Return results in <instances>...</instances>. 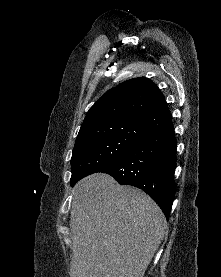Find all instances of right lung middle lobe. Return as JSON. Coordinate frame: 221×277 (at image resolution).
I'll return each instance as SVG.
<instances>
[{
    "mask_svg": "<svg viewBox=\"0 0 221 277\" xmlns=\"http://www.w3.org/2000/svg\"><path fill=\"white\" fill-rule=\"evenodd\" d=\"M141 132L139 122L100 125L79 132L71 158L70 184L121 159Z\"/></svg>",
    "mask_w": 221,
    "mask_h": 277,
    "instance_id": "right-lung-middle-lobe-1",
    "label": "right lung middle lobe"
}]
</instances>
